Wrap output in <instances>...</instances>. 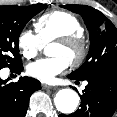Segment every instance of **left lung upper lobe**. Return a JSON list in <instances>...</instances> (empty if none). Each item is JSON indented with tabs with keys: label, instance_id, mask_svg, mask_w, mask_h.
<instances>
[{
	"label": "left lung upper lobe",
	"instance_id": "1",
	"mask_svg": "<svg viewBox=\"0 0 117 117\" xmlns=\"http://www.w3.org/2000/svg\"><path fill=\"white\" fill-rule=\"evenodd\" d=\"M80 14L89 30L90 50L86 61L69 74L77 80L108 68L117 67V29L100 11L85 5H60Z\"/></svg>",
	"mask_w": 117,
	"mask_h": 117
}]
</instances>
